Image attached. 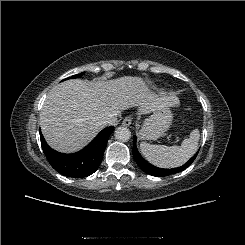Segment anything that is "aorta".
I'll list each match as a JSON object with an SVG mask.
<instances>
[{
	"mask_svg": "<svg viewBox=\"0 0 245 245\" xmlns=\"http://www.w3.org/2000/svg\"><path fill=\"white\" fill-rule=\"evenodd\" d=\"M114 136L118 141L127 142L131 138V132L127 127H118Z\"/></svg>",
	"mask_w": 245,
	"mask_h": 245,
	"instance_id": "obj_1",
	"label": "aorta"
}]
</instances>
